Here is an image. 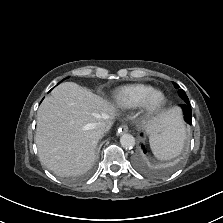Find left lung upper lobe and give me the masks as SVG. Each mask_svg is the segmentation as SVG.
I'll return each instance as SVG.
<instances>
[{"instance_id": "5c2ea615", "label": "left lung upper lobe", "mask_w": 223, "mask_h": 223, "mask_svg": "<svg viewBox=\"0 0 223 223\" xmlns=\"http://www.w3.org/2000/svg\"><path fill=\"white\" fill-rule=\"evenodd\" d=\"M173 84H174V87H175L176 89L179 88V85H178V84H176V83H174V82H173ZM178 94H179V96H180L185 102H189V99H188V97H187V95H186V93H185L184 90H179V91H178Z\"/></svg>"}]
</instances>
